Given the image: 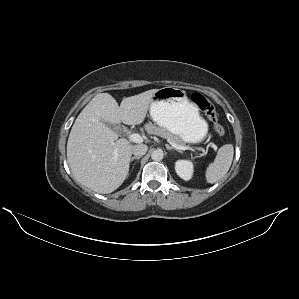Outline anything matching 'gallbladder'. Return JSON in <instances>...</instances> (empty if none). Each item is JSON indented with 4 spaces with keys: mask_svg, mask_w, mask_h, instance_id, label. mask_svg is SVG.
Returning <instances> with one entry per match:
<instances>
[{
    "mask_svg": "<svg viewBox=\"0 0 299 299\" xmlns=\"http://www.w3.org/2000/svg\"><path fill=\"white\" fill-rule=\"evenodd\" d=\"M102 122H103L107 127L111 128V129L114 128L113 124H111L110 122H107V121H102Z\"/></svg>",
    "mask_w": 299,
    "mask_h": 299,
    "instance_id": "bac80fb5",
    "label": "gallbladder"
}]
</instances>
